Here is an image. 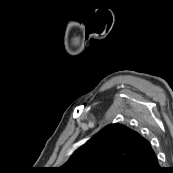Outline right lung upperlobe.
Wrapping results in <instances>:
<instances>
[{
	"mask_svg": "<svg viewBox=\"0 0 173 173\" xmlns=\"http://www.w3.org/2000/svg\"><path fill=\"white\" fill-rule=\"evenodd\" d=\"M154 151L136 131L111 124L74 152L58 173H124L137 160Z\"/></svg>",
	"mask_w": 173,
	"mask_h": 173,
	"instance_id": "right-lung-upper-lobe-1",
	"label": "right lung upper lobe"
}]
</instances>
